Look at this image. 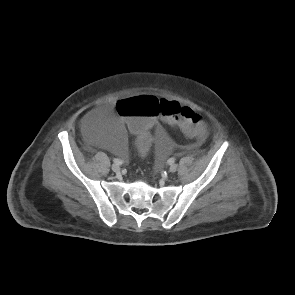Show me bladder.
<instances>
[{
    "instance_id": "bladder-1",
    "label": "bladder",
    "mask_w": 295,
    "mask_h": 295,
    "mask_svg": "<svg viewBox=\"0 0 295 295\" xmlns=\"http://www.w3.org/2000/svg\"><path fill=\"white\" fill-rule=\"evenodd\" d=\"M116 126L117 119L113 113L100 111L86 118L81 126V133L86 140L107 148L114 155H121L127 151L129 140ZM153 133L157 139L154 144L156 148L154 169L162 172L165 169L168 154L174 150V145L171 136L166 135L163 126H154Z\"/></svg>"
}]
</instances>
